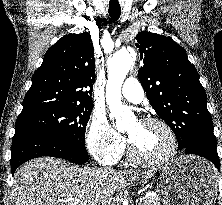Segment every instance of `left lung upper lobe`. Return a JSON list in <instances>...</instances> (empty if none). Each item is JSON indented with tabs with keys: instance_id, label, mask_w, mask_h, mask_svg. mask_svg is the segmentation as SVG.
I'll use <instances>...</instances> for the list:
<instances>
[{
	"instance_id": "5c2ea615",
	"label": "left lung upper lobe",
	"mask_w": 222,
	"mask_h": 205,
	"mask_svg": "<svg viewBox=\"0 0 222 205\" xmlns=\"http://www.w3.org/2000/svg\"><path fill=\"white\" fill-rule=\"evenodd\" d=\"M135 45L143 63L138 78L158 114L174 131L179 149L217 148L207 95L185 50L171 38L140 32Z\"/></svg>"
}]
</instances>
